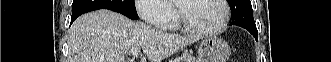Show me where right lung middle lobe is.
I'll return each instance as SVG.
<instances>
[{
  "instance_id": "1",
  "label": "right lung middle lobe",
  "mask_w": 331,
  "mask_h": 62,
  "mask_svg": "<svg viewBox=\"0 0 331 62\" xmlns=\"http://www.w3.org/2000/svg\"><path fill=\"white\" fill-rule=\"evenodd\" d=\"M72 8V16L98 9H109L130 19H138L134 0H73Z\"/></svg>"
}]
</instances>
